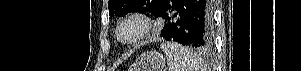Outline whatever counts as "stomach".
I'll use <instances>...</instances> for the list:
<instances>
[{
	"mask_svg": "<svg viewBox=\"0 0 301 71\" xmlns=\"http://www.w3.org/2000/svg\"><path fill=\"white\" fill-rule=\"evenodd\" d=\"M165 65L166 59L162 54L148 51L136 59L129 71H164Z\"/></svg>",
	"mask_w": 301,
	"mask_h": 71,
	"instance_id": "1",
	"label": "stomach"
}]
</instances>
